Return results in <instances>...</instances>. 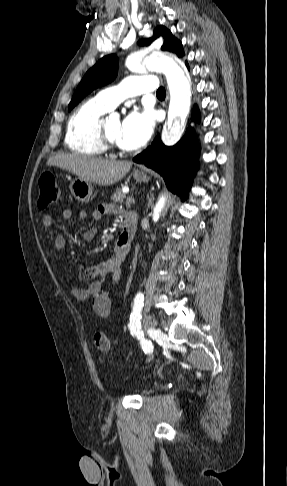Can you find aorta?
Wrapping results in <instances>:
<instances>
[{"label":"aorta","instance_id":"obj_1","mask_svg":"<svg viewBox=\"0 0 287 486\" xmlns=\"http://www.w3.org/2000/svg\"><path fill=\"white\" fill-rule=\"evenodd\" d=\"M126 67L132 72H139L143 67L161 71L167 79L170 91L168 120L163 132V141L167 145L176 143L184 131L186 118L190 110L191 84L185 69L172 56L152 53L144 58L132 56L127 58ZM166 197L161 196L156 203L152 218L159 219L165 206Z\"/></svg>","mask_w":287,"mask_h":486}]
</instances>
